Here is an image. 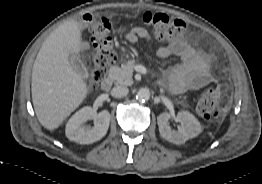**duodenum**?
I'll return each instance as SVG.
<instances>
[{"instance_id":"1","label":"duodenum","mask_w":262,"mask_h":184,"mask_svg":"<svg viewBox=\"0 0 262 184\" xmlns=\"http://www.w3.org/2000/svg\"><path fill=\"white\" fill-rule=\"evenodd\" d=\"M113 79L111 76L105 77L101 82V88L104 91H109L112 87Z\"/></svg>"}]
</instances>
